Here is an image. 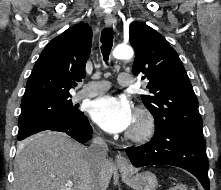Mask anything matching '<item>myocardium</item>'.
I'll return each instance as SVG.
<instances>
[{
	"instance_id": "1",
	"label": "myocardium",
	"mask_w": 221,
	"mask_h": 190,
	"mask_svg": "<svg viewBox=\"0 0 221 190\" xmlns=\"http://www.w3.org/2000/svg\"><path fill=\"white\" fill-rule=\"evenodd\" d=\"M155 119L145 108L137 109L134 122L126 137L132 142L143 143L148 141L155 133Z\"/></svg>"
}]
</instances>
